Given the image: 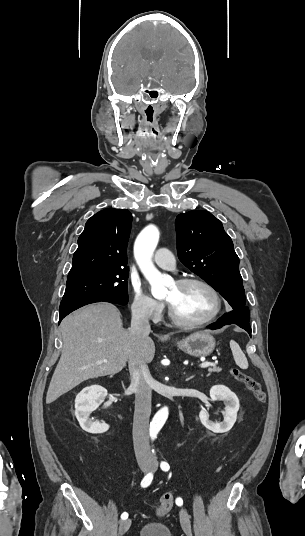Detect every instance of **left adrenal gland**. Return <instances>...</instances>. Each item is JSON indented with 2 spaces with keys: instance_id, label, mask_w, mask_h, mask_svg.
<instances>
[{
  "instance_id": "a2214340",
  "label": "left adrenal gland",
  "mask_w": 305,
  "mask_h": 536,
  "mask_svg": "<svg viewBox=\"0 0 305 536\" xmlns=\"http://www.w3.org/2000/svg\"><path fill=\"white\" fill-rule=\"evenodd\" d=\"M192 378H194V376H191V378H187V380H192Z\"/></svg>"
}]
</instances>
